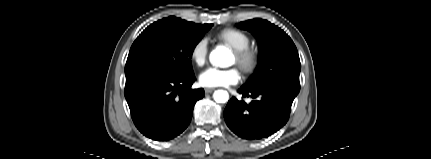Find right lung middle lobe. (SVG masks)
Instances as JSON below:
<instances>
[{
    "instance_id": "obj_1",
    "label": "right lung middle lobe",
    "mask_w": 431,
    "mask_h": 159,
    "mask_svg": "<svg viewBox=\"0 0 431 159\" xmlns=\"http://www.w3.org/2000/svg\"><path fill=\"white\" fill-rule=\"evenodd\" d=\"M212 26L193 25L176 17L149 25L131 46L125 66L126 78L149 69L178 76L193 75L192 53Z\"/></svg>"
}]
</instances>
